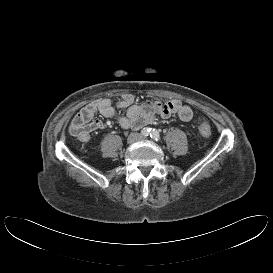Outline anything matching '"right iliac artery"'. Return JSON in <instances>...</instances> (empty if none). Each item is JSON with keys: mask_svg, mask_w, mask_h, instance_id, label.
<instances>
[{"mask_svg": "<svg viewBox=\"0 0 273 273\" xmlns=\"http://www.w3.org/2000/svg\"><path fill=\"white\" fill-rule=\"evenodd\" d=\"M151 133V129L150 128H143L141 131V134L145 137H147L149 134Z\"/></svg>", "mask_w": 273, "mask_h": 273, "instance_id": "1", "label": "right iliac artery"}]
</instances>
